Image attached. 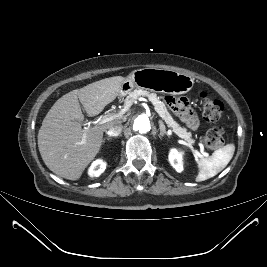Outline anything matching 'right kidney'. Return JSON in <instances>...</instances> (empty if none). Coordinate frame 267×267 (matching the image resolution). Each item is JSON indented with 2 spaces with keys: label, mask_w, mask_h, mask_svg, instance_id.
I'll list each match as a JSON object with an SVG mask.
<instances>
[{
  "label": "right kidney",
  "mask_w": 267,
  "mask_h": 267,
  "mask_svg": "<svg viewBox=\"0 0 267 267\" xmlns=\"http://www.w3.org/2000/svg\"><path fill=\"white\" fill-rule=\"evenodd\" d=\"M106 168V163L102 160H96L92 163L88 170V174L90 177H98L100 176Z\"/></svg>",
  "instance_id": "right-kidney-1"
}]
</instances>
